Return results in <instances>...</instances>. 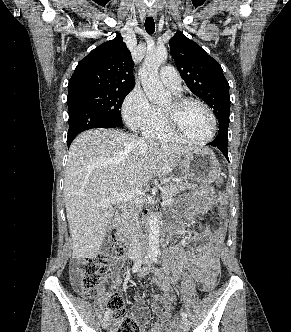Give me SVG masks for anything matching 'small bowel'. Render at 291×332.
<instances>
[{
  "label": "small bowel",
  "mask_w": 291,
  "mask_h": 332,
  "mask_svg": "<svg viewBox=\"0 0 291 332\" xmlns=\"http://www.w3.org/2000/svg\"><path fill=\"white\" fill-rule=\"evenodd\" d=\"M172 233L180 236L185 235L182 224L175 223L172 225ZM224 228L220 227L212 229L206 227L199 232H191L190 236L200 242L196 254H187L185 252V241L182 240L178 244L169 247L164 252V261L166 266L172 270L176 276L180 275L181 270L187 264L190 265L191 273L197 280L204 281L212 268L219 263V246L224 238ZM149 270L143 268L139 272V276L147 275ZM158 286L160 295L157 300L162 304L158 307L153 304V311L158 316V320L153 324L150 330H146L149 320V309L140 300L134 307L132 317L140 325L141 332H173L172 329V290L168 278L163 273H158Z\"/></svg>",
  "instance_id": "small-bowel-1"
}]
</instances>
